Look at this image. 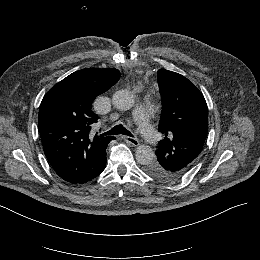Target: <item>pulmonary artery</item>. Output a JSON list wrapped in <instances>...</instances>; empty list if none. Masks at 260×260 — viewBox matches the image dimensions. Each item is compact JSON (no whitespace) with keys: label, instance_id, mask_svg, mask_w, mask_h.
<instances>
[{"label":"pulmonary artery","instance_id":"pulmonary-artery-1","mask_svg":"<svg viewBox=\"0 0 260 260\" xmlns=\"http://www.w3.org/2000/svg\"><path fill=\"white\" fill-rule=\"evenodd\" d=\"M150 114V105L147 102H140L132 114V121L139 124L141 136L149 143H156L159 140V133L152 126V121L146 118Z\"/></svg>","mask_w":260,"mask_h":260}]
</instances>
